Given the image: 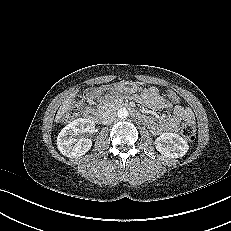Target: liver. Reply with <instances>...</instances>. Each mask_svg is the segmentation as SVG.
Listing matches in <instances>:
<instances>
[{
  "instance_id": "liver-1",
  "label": "liver",
  "mask_w": 231,
  "mask_h": 231,
  "mask_svg": "<svg viewBox=\"0 0 231 231\" xmlns=\"http://www.w3.org/2000/svg\"><path fill=\"white\" fill-rule=\"evenodd\" d=\"M75 97V93L70 94L62 103L60 108L58 109V112L56 114L55 122L59 123L61 121V118L64 116V114L67 112V110L70 108L72 99Z\"/></svg>"
}]
</instances>
